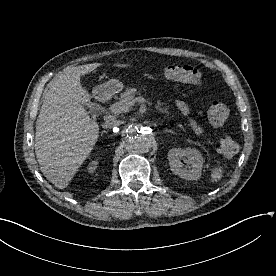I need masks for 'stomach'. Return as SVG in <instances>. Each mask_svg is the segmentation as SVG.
I'll return each mask as SVG.
<instances>
[{
    "label": "stomach",
    "instance_id": "obj_1",
    "mask_svg": "<svg viewBox=\"0 0 276 276\" xmlns=\"http://www.w3.org/2000/svg\"><path fill=\"white\" fill-rule=\"evenodd\" d=\"M123 89V83L118 79L98 85L94 88L93 93L98 98H105L120 92Z\"/></svg>",
    "mask_w": 276,
    "mask_h": 276
}]
</instances>
